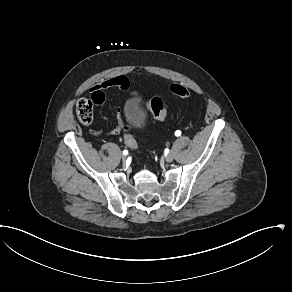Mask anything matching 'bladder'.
<instances>
[{
  "mask_svg": "<svg viewBox=\"0 0 292 292\" xmlns=\"http://www.w3.org/2000/svg\"><path fill=\"white\" fill-rule=\"evenodd\" d=\"M138 104L135 100L129 102L127 107V116L129 121L137 128H141L144 124V117L139 113Z\"/></svg>",
  "mask_w": 292,
  "mask_h": 292,
  "instance_id": "31cf9c89",
  "label": "bladder"
}]
</instances>
